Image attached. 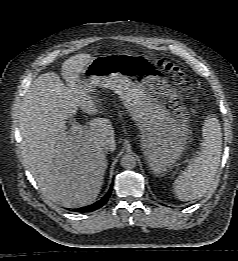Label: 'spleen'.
<instances>
[{
    "label": "spleen",
    "instance_id": "3e777b00",
    "mask_svg": "<svg viewBox=\"0 0 238 261\" xmlns=\"http://www.w3.org/2000/svg\"><path fill=\"white\" fill-rule=\"evenodd\" d=\"M202 136L200 152L173 184L174 194L181 201L203 197L214 184L222 151V132L217 118L205 119Z\"/></svg>",
    "mask_w": 238,
    "mask_h": 261
}]
</instances>
